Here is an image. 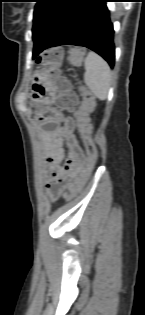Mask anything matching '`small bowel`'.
Listing matches in <instances>:
<instances>
[{"label":"small bowel","mask_w":145,"mask_h":315,"mask_svg":"<svg viewBox=\"0 0 145 315\" xmlns=\"http://www.w3.org/2000/svg\"><path fill=\"white\" fill-rule=\"evenodd\" d=\"M73 130V119L66 118L59 127L45 136L44 182L48 194L53 199L61 195L66 188L70 191L77 188L80 182L84 185L90 176L85 171L86 157L73 135ZM65 149L71 156V161L67 165L62 164Z\"/></svg>","instance_id":"obj_1"}]
</instances>
